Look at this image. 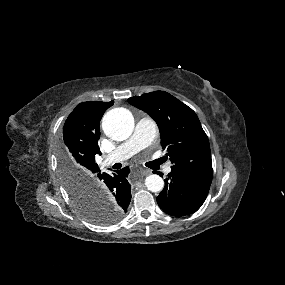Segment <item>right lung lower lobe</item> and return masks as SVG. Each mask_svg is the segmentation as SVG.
<instances>
[{"label": "right lung lower lobe", "instance_id": "98d812e1", "mask_svg": "<svg viewBox=\"0 0 285 285\" xmlns=\"http://www.w3.org/2000/svg\"><path fill=\"white\" fill-rule=\"evenodd\" d=\"M130 170L125 167L112 174L98 170L88 181V187L94 189L107 203L112 204L122 214L127 212L131 201V186L127 181Z\"/></svg>", "mask_w": 285, "mask_h": 285}]
</instances>
